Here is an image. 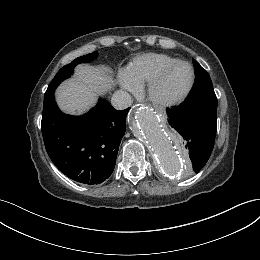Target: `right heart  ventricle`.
I'll list each match as a JSON object with an SVG mask.
<instances>
[{
    "instance_id": "1",
    "label": "right heart ventricle",
    "mask_w": 260,
    "mask_h": 260,
    "mask_svg": "<svg viewBox=\"0 0 260 260\" xmlns=\"http://www.w3.org/2000/svg\"><path fill=\"white\" fill-rule=\"evenodd\" d=\"M179 61L162 53H148L134 58L125 70L126 77L137 85L151 81L163 68Z\"/></svg>"
}]
</instances>
